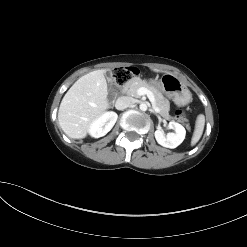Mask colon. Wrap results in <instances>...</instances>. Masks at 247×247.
I'll return each mask as SVG.
<instances>
[{
	"label": "colon",
	"mask_w": 247,
	"mask_h": 247,
	"mask_svg": "<svg viewBox=\"0 0 247 247\" xmlns=\"http://www.w3.org/2000/svg\"><path fill=\"white\" fill-rule=\"evenodd\" d=\"M138 74V70L133 67L128 68H116L113 72L112 92L115 94L118 91V87L128 82L133 76ZM178 115L182 117V113L179 112Z\"/></svg>",
	"instance_id": "colon-1"
}]
</instances>
